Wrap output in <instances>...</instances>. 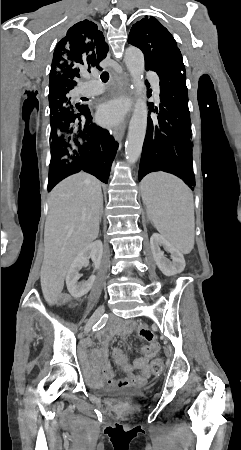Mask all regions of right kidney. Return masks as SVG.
I'll use <instances>...</instances> for the list:
<instances>
[{"instance_id":"1","label":"right kidney","mask_w":241,"mask_h":450,"mask_svg":"<svg viewBox=\"0 0 241 450\" xmlns=\"http://www.w3.org/2000/svg\"><path fill=\"white\" fill-rule=\"evenodd\" d=\"M103 244L100 240L92 242L86 248H83L77 256H75L66 276L67 290L73 298H82L85 294H88L91 290L95 276H90L87 282H78L81 278L79 272L82 270L85 264H88L89 258H91L94 266V270H98L102 260Z\"/></svg>"}]
</instances>
